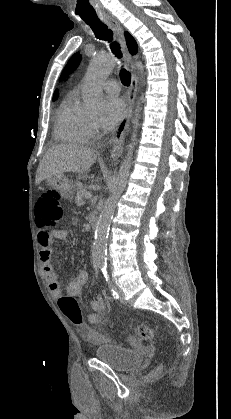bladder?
I'll return each mask as SVG.
<instances>
[{"label":"bladder","mask_w":231,"mask_h":419,"mask_svg":"<svg viewBox=\"0 0 231 419\" xmlns=\"http://www.w3.org/2000/svg\"><path fill=\"white\" fill-rule=\"evenodd\" d=\"M94 355L96 359L107 363L113 370L118 372L135 370L145 361V356L138 352L108 342H103L96 346Z\"/></svg>","instance_id":"31cf9c89"}]
</instances>
